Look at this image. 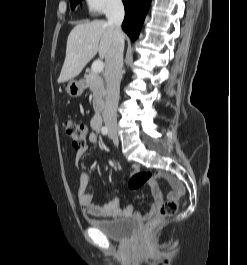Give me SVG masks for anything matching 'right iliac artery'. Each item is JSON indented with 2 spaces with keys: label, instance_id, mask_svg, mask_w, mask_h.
<instances>
[{
  "label": "right iliac artery",
  "instance_id": "obj_1",
  "mask_svg": "<svg viewBox=\"0 0 247 265\" xmlns=\"http://www.w3.org/2000/svg\"><path fill=\"white\" fill-rule=\"evenodd\" d=\"M101 132H102L104 135H107V134H108V128H107V127H102Z\"/></svg>",
  "mask_w": 247,
  "mask_h": 265
}]
</instances>
